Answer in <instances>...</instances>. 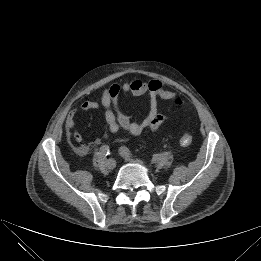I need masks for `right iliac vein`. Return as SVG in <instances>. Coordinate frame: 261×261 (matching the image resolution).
<instances>
[{"label": "right iliac vein", "mask_w": 261, "mask_h": 261, "mask_svg": "<svg viewBox=\"0 0 261 261\" xmlns=\"http://www.w3.org/2000/svg\"><path fill=\"white\" fill-rule=\"evenodd\" d=\"M106 166L108 169H114L116 167V161L114 159H108L106 162Z\"/></svg>", "instance_id": "obj_1"}]
</instances>
